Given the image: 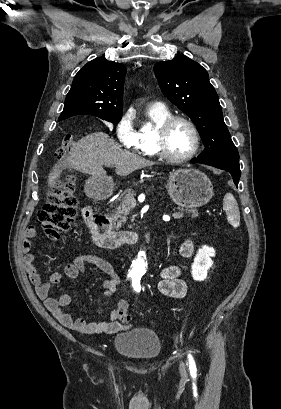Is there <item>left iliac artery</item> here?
<instances>
[{
    "instance_id": "1",
    "label": "left iliac artery",
    "mask_w": 281,
    "mask_h": 409,
    "mask_svg": "<svg viewBox=\"0 0 281 409\" xmlns=\"http://www.w3.org/2000/svg\"><path fill=\"white\" fill-rule=\"evenodd\" d=\"M132 286H133V288H134V290H135L136 292H140V290H141L140 278L134 277V278L132 279ZM188 357H189V369H190V373H191V375H192L193 377H196V365H195L194 359H193V357H192L191 354H189Z\"/></svg>"
}]
</instances>
